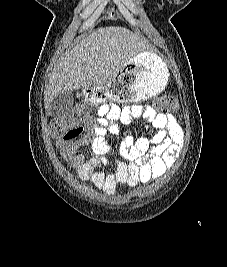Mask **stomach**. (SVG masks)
Masks as SVG:
<instances>
[{"label": "stomach", "mask_w": 227, "mask_h": 267, "mask_svg": "<svg viewBox=\"0 0 227 267\" xmlns=\"http://www.w3.org/2000/svg\"><path fill=\"white\" fill-rule=\"evenodd\" d=\"M169 71L167 65L155 53L144 51L133 57L118 74L107 82V87H89L84 93L85 103L133 104L146 101L161 93L167 85Z\"/></svg>", "instance_id": "0dacf381"}]
</instances>
